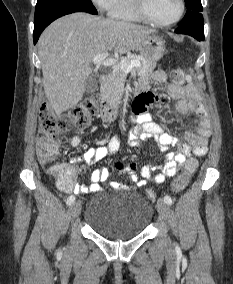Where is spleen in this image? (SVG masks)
Returning a JSON list of instances; mask_svg holds the SVG:
<instances>
[{
	"label": "spleen",
	"mask_w": 233,
	"mask_h": 284,
	"mask_svg": "<svg viewBox=\"0 0 233 284\" xmlns=\"http://www.w3.org/2000/svg\"><path fill=\"white\" fill-rule=\"evenodd\" d=\"M191 72H192V71H191ZM186 79H187L188 81H191V80H192L191 76H188Z\"/></svg>",
	"instance_id": "1"
}]
</instances>
